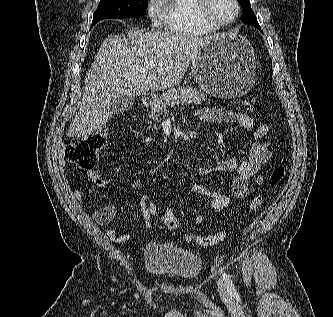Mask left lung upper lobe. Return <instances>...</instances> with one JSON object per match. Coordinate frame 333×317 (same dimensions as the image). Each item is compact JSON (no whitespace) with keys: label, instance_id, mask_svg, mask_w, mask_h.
Instances as JSON below:
<instances>
[{"label":"left lung upper lobe","instance_id":"5c2ea615","mask_svg":"<svg viewBox=\"0 0 333 317\" xmlns=\"http://www.w3.org/2000/svg\"><path fill=\"white\" fill-rule=\"evenodd\" d=\"M238 2L241 4L242 8L244 9V14L241 18V21L243 23L253 25L260 30V26L257 21V18L251 9L250 1L249 0H238Z\"/></svg>","mask_w":333,"mask_h":317}]
</instances>
